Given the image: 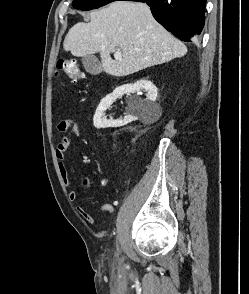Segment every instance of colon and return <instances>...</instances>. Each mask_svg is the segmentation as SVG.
<instances>
[{
	"mask_svg": "<svg viewBox=\"0 0 249 294\" xmlns=\"http://www.w3.org/2000/svg\"><path fill=\"white\" fill-rule=\"evenodd\" d=\"M56 77L66 78L72 82H77L81 79V71L75 60L59 59L56 64Z\"/></svg>",
	"mask_w": 249,
	"mask_h": 294,
	"instance_id": "5ec220e1",
	"label": "colon"
}]
</instances>
